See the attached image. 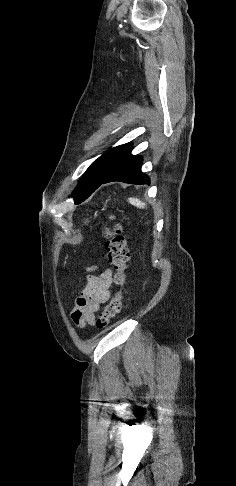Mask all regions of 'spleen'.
I'll list each match as a JSON object with an SVG mask.
<instances>
[{
    "mask_svg": "<svg viewBox=\"0 0 236 486\" xmlns=\"http://www.w3.org/2000/svg\"><path fill=\"white\" fill-rule=\"evenodd\" d=\"M129 203L136 206L137 208L143 209L145 208V203H143L140 199L138 198H130Z\"/></svg>",
    "mask_w": 236,
    "mask_h": 486,
    "instance_id": "1",
    "label": "spleen"
}]
</instances>
